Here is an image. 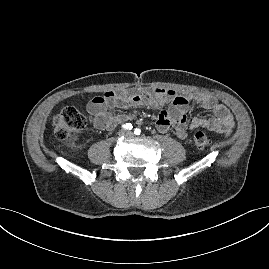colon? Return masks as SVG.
I'll list each match as a JSON object with an SVG mask.
<instances>
[{
	"mask_svg": "<svg viewBox=\"0 0 269 269\" xmlns=\"http://www.w3.org/2000/svg\"><path fill=\"white\" fill-rule=\"evenodd\" d=\"M88 122V117L76 107H65L53 119L55 136L59 140H67L84 129ZM193 140L195 146L200 150H207L211 146L210 137L202 131H197Z\"/></svg>",
	"mask_w": 269,
	"mask_h": 269,
	"instance_id": "colon-1",
	"label": "colon"
}]
</instances>
